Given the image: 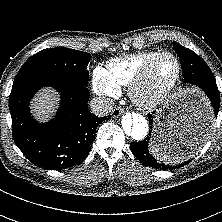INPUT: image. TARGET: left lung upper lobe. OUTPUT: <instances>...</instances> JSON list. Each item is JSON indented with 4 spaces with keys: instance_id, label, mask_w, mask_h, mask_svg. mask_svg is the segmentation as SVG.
Here are the masks:
<instances>
[{
    "instance_id": "left-lung-upper-lobe-1",
    "label": "left lung upper lobe",
    "mask_w": 222,
    "mask_h": 222,
    "mask_svg": "<svg viewBox=\"0 0 222 222\" xmlns=\"http://www.w3.org/2000/svg\"><path fill=\"white\" fill-rule=\"evenodd\" d=\"M173 45L175 47V51L178 53V56L180 58V60H191L193 62H196L198 64V66L201 69V72L203 73L201 75V80L204 82H208V83H213L216 84L215 78L211 72V70L209 69L208 65L205 63V61L198 56L195 52H193L192 50L183 47L182 45H180L177 42H173ZM160 165V163H159Z\"/></svg>"
}]
</instances>
